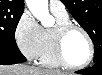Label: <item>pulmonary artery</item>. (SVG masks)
<instances>
[{
  "mask_svg": "<svg viewBox=\"0 0 102 75\" xmlns=\"http://www.w3.org/2000/svg\"><path fill=\"white\" fill-rule=\"evenodd\" d=\"M49 8L52 12L59 13L61 15L67 14L65 5L61 1H49Z\"/></svg>",
  "mask_w": 102,
  "mask_h": 75,
  "instance_id": "obj_1",
  "label": "pulmonary artery"
}]
</instances>
